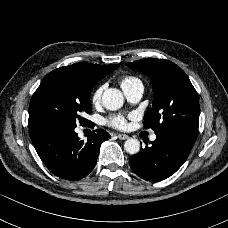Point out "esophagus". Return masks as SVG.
Returning <instances> with one entry per match:
<instances>
[{
    "label": "esophagus",
    "mask_w": 228,
    "mask_h": 228,
    "mask_svg": "<svg viewBox=\"0 0 228 228\" xmlns=\"http://www.w3.org/2000/svg\"><path fill=\"white\" fill-rule=\"evenodd\" d=\"M117 137H118L120 140H126V139L129 138V136L126 135V134H118Z\"/></svg>",
    "instance_id": "1"
}]
</instances>
